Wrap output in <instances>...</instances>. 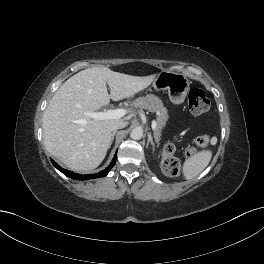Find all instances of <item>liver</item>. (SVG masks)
<instances>
[{"label": "liver", "mask_w": 264, "mask_h": 264, "mask_svg": "<svg viewBox=\"0 0 264 264\" xmlns=\"http://www.w3.org/2000/svg\"><path fill=\"white\" fill-rule=\"evenodd\" d=\"M156 76L139 77L93 67L70 77L55 92L43 114L48 152L76 171L97 168L111 146L112 126L123 119L96 120L85 112L99 110L110 99L119 101L135 95Z\"/></svg>", "instance_id": "6515ba94"}]
</instances>
